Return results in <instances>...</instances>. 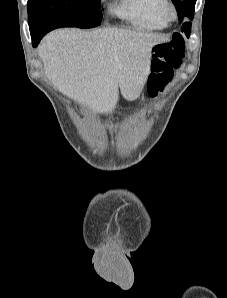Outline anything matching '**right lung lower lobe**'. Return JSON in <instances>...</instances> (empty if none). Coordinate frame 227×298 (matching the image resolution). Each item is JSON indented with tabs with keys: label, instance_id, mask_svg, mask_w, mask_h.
Segmentation results:
<instances>
[{
	"label": "right lung lower lobe",
	"instance_id": "obj_1",
	"mask_svg": "<svg viewBox=\"0 0 227 298\" xmlns=\"http://www.w3.org/2000/svg\"><path fill=\"white\" fill-rule=\"evenodd\" d=\"M49 31H44V32H37L31 35L32 38V45L33 47H36L38 45V43L40 42V40L42 39V37Z\"/></svg>",
	"mask_w": 227,
	"mask_h": 298
}]
</instances>
